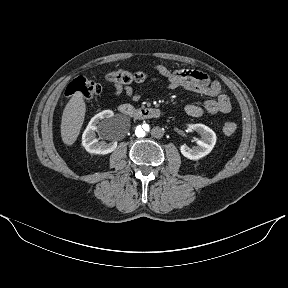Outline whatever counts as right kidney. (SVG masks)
I'll use <instances>...</instances> for the list:
<instances>
[{"instance_id":"right-kidney-1","label":"right kidney","mask_w":288,"mask_h":288,"mask_svg":"<svg viewBox=\"0 0 288 288\" xmlns=\"http://www.w3.org/2000/svg\"><path fill=\"white\" fill-rule=\"evenodd\" d=\"M113 116L112 111L106 110L95 115L89 122L87 128L82 135V145L92 154L105 155L113 152L117 147V142L99 141V136H105V121Z\"/></svg>"}]
</instances>
